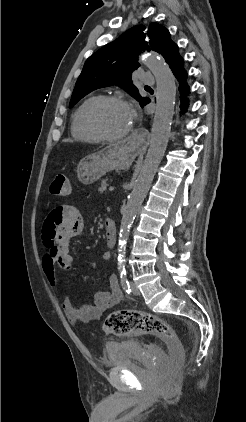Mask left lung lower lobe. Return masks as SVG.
I'll return each instance as SVG.
<instances>
[{"label": "left lung lower lobe", "mask_w": 246, "mask_h": 422, "mask_svg": "<svg viewBox=\"0 0 246 422\" xmlns=\"http://www.w3.org/2000/svg\"><path fill=\"white\" fill-rule=\"evenodd\" d=\"M179 48L177 47L175 52L172 54L170 59L168 60V65L170 69L172 70L173 74L179 81V91L181 94V110L186 111L188 107V100L186 96L189 94V86L186 83V79L188 77L187 71L184 69V59L180 56L178 52ZM150 102V100L147 102V104Z\"/></svg>", "instance_id": "obj_1"}]
</instances>
